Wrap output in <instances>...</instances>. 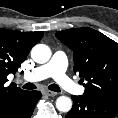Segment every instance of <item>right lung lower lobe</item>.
<instances>
[{"label": "right lung lower lobe", "mask_w": 118, "mask_h": 118, "mask_svg": "<svg viewBox=\"0 0 118 118\" xmlns=\"http://www.w3.org/2000/svg\"><path fill=\"white\" fill-rule=\"evenodd\" d=\"M40 98V91H30L25 98L1 111L0 118H30Z\"/></svg>", "instance_id": "right-lung-lower-lobe-1"}]
</instances>
